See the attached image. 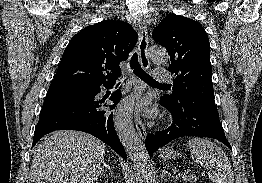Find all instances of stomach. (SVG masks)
<instances>
[{"instance_id":"0dacf381","label":"stomach","mask_w":262,"mask_h":183,"mask_svg":"<svg viewBox=\"0 0 262 183\" xmlns=\"http://www.w3.org/2000/svg\"><path fill=\"white\" fill-rule=\"evenodd\" d=\"M180 154L177 153L173 148H165L163 152L161 153V157L163 159H176L179 158Z\"/></svg>"}]
</instances>
